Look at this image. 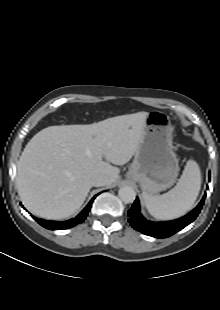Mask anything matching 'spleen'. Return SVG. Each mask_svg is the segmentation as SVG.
<instances>
[{
    "mask_svg": "<svg viewBox=\"0 0 220 310\" xmlns=\"http://www.w3.org/2000/svg\"><path fill=\"white\" fill-rule=\"evenodd\" d=\"M201 188V171L194 160H188L174 188L153 196L143 192L146 208L156 219L171 220L186 214L194 205Z\"/></svg>",
    "mask_w": 220,
    "mask_h": 310,
    "instance_id": "1",
    "label": "spleen"
}]
</instances>
